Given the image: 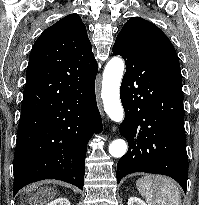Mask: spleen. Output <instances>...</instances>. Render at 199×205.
<instances>
[{
	"mask_svg": "<svg viewBox=\"0 0 199 205\" xmlns=\"http://www.w3.org/2000/svg\"><path fill=\"white\" fill-rule=\"evenodd\" d=\"M136 186L148 205H182L177 184L165 176L145 175Z\"/></svg>",
	"mask_w": 199,
	"mask_h": 205,
	"instance_id": "1",
	"label": "spleen"
}]
</instances>
